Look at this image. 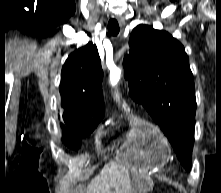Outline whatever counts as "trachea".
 <instances>
[{
  "label": "trachea",
  "instance_id": "trachea-1",
  "mask_svg": "<svg viewBox=\"0 0 221 193\" xmlns=\"http://www.w3.org/2000/svg\"><path fill=\"white\" fill-rule=\"evenodd\" d=\"M108 32L112 36H117L119 33V24L116 19L112 18L108 22Z\"/></svg>",
  "mask_w": 221,
  "mask_h": 193
}]
</instances>
